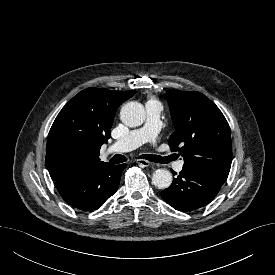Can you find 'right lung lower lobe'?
<instances>
[{
  "instance_id": "1",
  "label": "right lung lower lobe",
  "mask_w": 275,
  "mask_h": 275,
  "mask_svg": "<svg viewBox=\"0 0 275 275\" xmlns=\"http://www.w3.org/2000/svg\"><path fill=\"white\" fill-rule=\"evenodd\" d=\"M126 166L105 163L57 180L55 186L69 205L82 211H92L102 206L117 191L121 172Z\"/></svg>"
}]
</instances>
